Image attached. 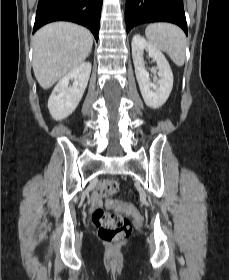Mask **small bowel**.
Here are the masks:
<instances>
[{
	"instance_id": "c3829d8e",
	"label": "small bowel",
	"mask_w": 229,
	"mask_h": 280,
	"mask_svg": "<svg viewBox=\"0 0 229 280\" xmlns=\"http://www.w3.org/2000/svg\"><path fill=\"white\" fill-rule=\"evenodd\" d=\"M101 192V187L99 186L97 188V190L94 192V198H93V203H92V208H95L98 203H99V194ZM105 206L108 208V209H115L117 208V204L115 201L113 200H107L106 203H105Z\"/></svg>"
}]
</instances>
